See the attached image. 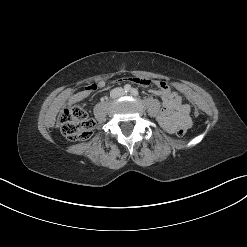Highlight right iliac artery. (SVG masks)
Segmentation results:
<instances>
[{"label":"right iliac artery","instance_id":"obj_1","mask_svg":"<svg viewBox=\"0 0 247 247\" xmlns=\"http://www.w3.org/2000/svg\"><path fill=\"white\" fill-rule=\"evenodd\" d=\"M124 91L127 93V92H130L131 91V86L130 85H125L124 86Z\"/></svg>","mask_w":247,"mask_h":247}]
</instances>
